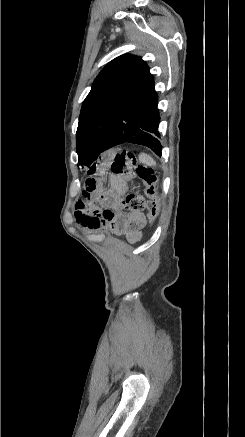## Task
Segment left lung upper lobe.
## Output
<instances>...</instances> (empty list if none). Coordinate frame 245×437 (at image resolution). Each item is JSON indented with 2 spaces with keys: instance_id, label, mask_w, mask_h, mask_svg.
I'll list each match as a JSON object with an SVG mask.
<instances>
[{
  "instance_id": "obj_1",
  "label": "left lung upper lobe",
  "mask_w": 245,
  "mask_h": 437,
  "mask_svg": "<svg viewBox=\"0 0 245 437\" xmlns=\"http://www.w3.org/2000/svg\"><path fill=\"white\" fill-rule=\"evenodd\" d=\"M150 75L146 62L131 54L115 58L98 74L79 116V165L90 167L98 158L112 126Z\"/></svg>"
}]
</instances>
